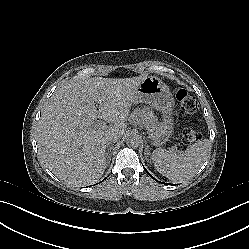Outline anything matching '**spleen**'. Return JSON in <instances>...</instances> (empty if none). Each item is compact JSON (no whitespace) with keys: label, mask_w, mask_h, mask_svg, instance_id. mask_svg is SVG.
Masks as SVG:
<instances>
[{"label":"spleen","mask_w":249,"mask_h":249,"mask_svg":"<svg viewBox=\"0 0 249 249\" xmlns=\"http://www.w3.org/2000/svg\"><path fill=\"white\" fill-rule=\"evenodd\" d=\"M211 144L209 140L194 143L182 153L176 151L154 150L152 161L157 171L169 180L177 181L186 177L188 172H196L209 158Z\"/></svg>","instance_id":"spleen-1"}]
</instances>
